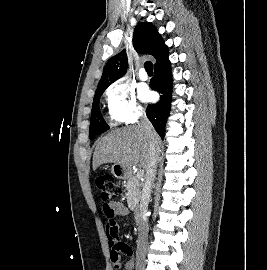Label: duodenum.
I'll return each mask as SVG.
<instances>
[{
    "label": "duodenum",
    "mask_w": 267,
    "mask_h": 270,
    "mask_svg": "<svg viewBox=\"0 0 267 270\" xmlns=\"http://www.w3.org/2000/svg\"><path fill=\"white\" fill-rule=\"evenodd\" d=\"M144 218H145V211L142 210L141 208H136L135 219H136L137 225L142 224V222L144 221Z\"/></svg>",
    "instance_id": "duodenum-1"
}]
</instances>
